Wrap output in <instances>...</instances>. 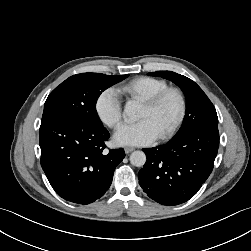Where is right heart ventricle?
Wrapping results in <instances>:
<instances>
[{
    "instance_id": "e07e8e85",
    "label": "right heart ventricle",
    "mask_w": 251,
    "mask_h": 251,
    "mask_svg": "<svg viewBox=\"0 0 251 251\" xmlns=\"http://www.w3.org/2000/svg\"><path fill=\"white\" fill-rule=\"evenodd\" d=\"M166 87L165 80L142 76L123 84L119 91L128 99L143 102Z\"/></svg>"
}]
</instances>
